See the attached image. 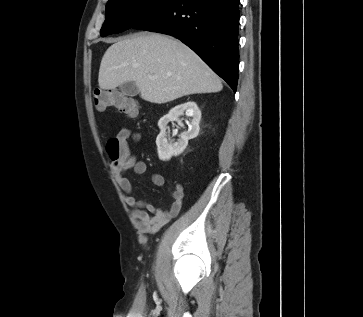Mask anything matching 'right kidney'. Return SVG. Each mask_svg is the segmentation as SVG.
I'll list each match as a JSON object with an SVG mask.
<instances>
[{
	"mask_svg": "<svg viewBox=\"0 0 363 317\" xmlns=\"http://www.w3.org/2000/svg\"><path fill=\"white\" fill-rule=\"evenodd\" d=\"M184 114L187 117H192L189 128L180 135V139L177 142H172L166 133L167 124L170 121H177L179 125H182L179 117ZM200 119L201 111L193 101L177 105L167 115H164L158 122L160 133L156 139L159 159L168 161L172 156L180 155L187 147L188 141L198 136Z\"/></svg>",
	"mask_w": 363,
	"mask_h": 317,
	"instance_id": "ca27d5eb",
	"label": "right kidney"
}]
</instances>
